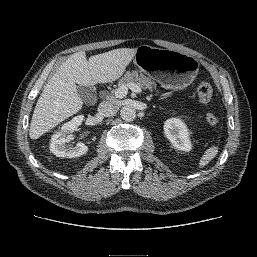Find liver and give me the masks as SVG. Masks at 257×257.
<instances>
[{"instance_id": "liver-1", "label": "liver", "mask_w": 257, "mask_h": 257, "mask_svg": "<svg viewBox=\"0 0 257 257\" xmlns=\"http://www.w3.org/2000/svg\"><path fill=\"white\" fill-rule=\"evenodd\" d=\"M137 49L120 48L94 55L85 52L71 55L48 80L33 112L29 136L35 140L76 114L83 106L77 85L92 87L119 79Z\"/></svg>"}]
</instances>
